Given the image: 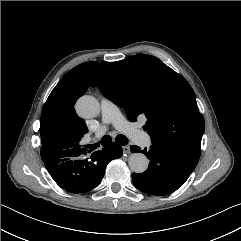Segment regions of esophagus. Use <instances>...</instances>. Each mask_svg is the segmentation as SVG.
Segmentation results:
<instances>
[{"label": "esophagus", "mask_w": 241, "mask_h": 241, "mask_svg": "<svg viewBox=\"0 0 241 241\" xmlns=\"http://www.w3.org/2000/svg\"><path fill=\"white\" fill-rule=\"evenodd\" d=\"M122 149H123V152L125 154H129L130 153V146L129 145L123 146Z\"/></svg>", "instance_id": "34e87169"}]
</instances>
